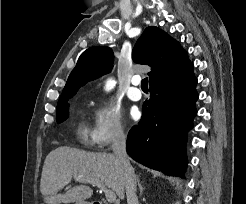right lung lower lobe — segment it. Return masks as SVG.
<instances>
[{
    "mask_svg": "<svg viewBox=\"0 0 246 204\" xmlns=\"http://www.w3.org/2000/svg\"><path fill=\"white\" fill-rule=\"evenodd\" d=\"M196 83L192 63L149 83L150 99L128 134L126 149L131 158L155 170L184 175L186 132L197 113Z\"/></svg>",
    "mask_w": 246,
    "mask_h": 204,
    "instance_id": "right-lung-lower-lobe-1",
    "label": "right lung lower lobe"
}]
</instances>
